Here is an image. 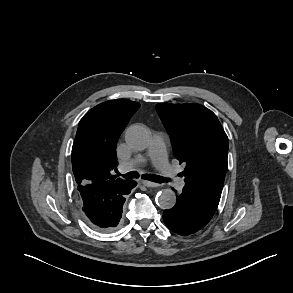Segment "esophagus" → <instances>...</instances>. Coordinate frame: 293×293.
Returning a JSON list of instances; mask_svg holds the SVG:
<instances>
[{
    "label": "esophagus",
    "mask_w": 293,
    "mask_h": 293,
    "mask_svg": "<svg viewBox=\"0 0 293 293\" xmlns=\"http://www.w3.org/2000/svg\"><path fill=\"white\" fill-rule=\"evenodd\" d=\"M142 184L146 187H158L159 184L158 183H155V182H151V181H148V180H143L142 181Z\"/></svg>",
    "instance_id": "1"
}]
</instances>
